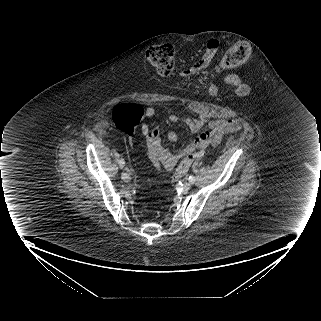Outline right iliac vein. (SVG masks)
Listing matches in <instances>:
<instances>
[{"mask_svg": "<svg viewBox=\"0 0 321 321\" xmlns=\"http://www.w3.org/2000/svg\"><path fill=\"white\" fill-rule=\"evenodd\" d=\"M121 178H122L125 182H129V181H130V176H129L127 173H125V172H123V173L121 174Z\"/></svg>", "mask_w": 321, "mask_h": 321, "instance_id": "1", "label": "right iliac vein"}]
</instances>
